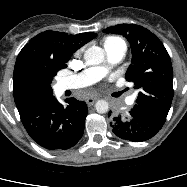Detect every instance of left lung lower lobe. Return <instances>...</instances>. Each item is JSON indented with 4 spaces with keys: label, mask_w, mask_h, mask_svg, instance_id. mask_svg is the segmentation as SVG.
Segmentation results:
<instances>
[{
    "label": "left lung lower lobe",
    "mask_w": 187,
    "mask_h": 187,
    "mask_svg": "<svg viewBox=\"0 0 187 187\" xmlns=\"http://www.w3.org/2000/svg\"><path fill=\"white\" fill-rule=\"evenodd\" d=\"M111 112H109V116ZM165 115L134 105L126 119L114 117L110 122L113 133L121 139L141 142L153 137L166 121Z\"/></svg>",
    "instance_id": "obj_1"
}]
</instances>
